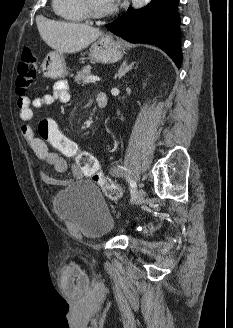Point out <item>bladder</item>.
<instances>
[{
    "instance_id": "bladder-1",
    "label": "bladder",
    "mask_w": 233,
    "mask_h": 328,
    "mask_svg": "<svg viewBox=\"0 0 233 328\" xmlns=\"http://www.w3.org/2000/svg\"><path fill=\"white\" fill-rule=\"evenodd\" d=\"M56 212L84 237L97 239L108 234L114 218L99 188L88 180L70 184L53 198Z\"/></svg>"
}]
</instances>
